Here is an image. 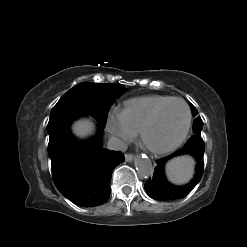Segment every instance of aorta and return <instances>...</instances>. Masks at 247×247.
I'll list each match as a JSON object with an SVG mask.
<instances>
[{
  "label": "aorta",
  "mask_w": 247,
  "mask_h": 247,
  "mask_svg": "<svg viewBox=\"0 0 247 247\" xmlns=\"http://www.w3.org/2000/svg\"><path fill=\"white\" fill-rule=\"evenodd\" d=\"M137 173L142 178L153 176L154 167L151 160L145 156H137L134 161Z\"/></svg>",
  "instance_id": "obj_1"
}]
</instances>
